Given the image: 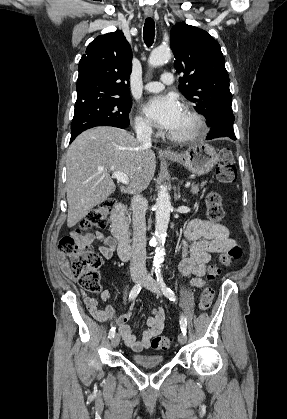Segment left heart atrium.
I'll use <instances>...</instances> for the list:
<instances>
[{
  "label": "left heart atrium",
  "instance_id": "obj_1",
  "mask_svg": "<svg viewBox=\"0 0 287 419\" xmlns=\"http://www.w3.org/2000/svg\"><path fill=\"white\" fill-rule=\"evenodd\" d=\"M146 116L160 129L172 131L178 124L183 107L174 94H161L150 98L144 105Z\"/></svg>",
  "mask_w": 287,
  "mask_h": 419
}]
</instances>
